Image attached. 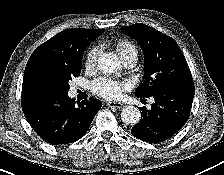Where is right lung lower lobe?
<instances>
[{
	"mask_svg": "<svg viewBox=\"0 0 224 175\" xmlns=\"http://www.w3.org/2000/svg\"><path fill=\"white\" fill-rule=\"evenodd\" d=\"M22 110L34 131L46 142L68 144L89 129L101 101L90 98L76 105L68 92L28 90L22 92Z\"/></svg>",
	"mask_w": 224,
	"mask_h": 175,
	"instance_id": "right-lung-lower-lobe-1",
	"label": "right lung lower lobe"
}]
</instances>
